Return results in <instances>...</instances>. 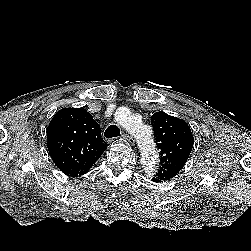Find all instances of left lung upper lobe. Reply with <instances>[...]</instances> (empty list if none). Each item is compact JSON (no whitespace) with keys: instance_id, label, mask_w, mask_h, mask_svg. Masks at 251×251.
Here are the masks:
<instances>
[{"instance_id":"left-lung-upper-lobe-1","label":"left lung upper lobe","mask_w":251,"mask_h":251,"mask_svg":"<svg viewBox=\"0 0 251 251\" xmlns=\"http://www.w3.org/2000/svg\"><path fill=\"white\" fill-rule=\"evenodd\" d=\"M154 138L160 149V167L154 175L159 182L174 178L183 168L193 146V135L188 124L164 112L151 117Z\"/></svg>"}]
</instances>
